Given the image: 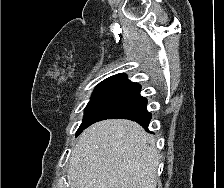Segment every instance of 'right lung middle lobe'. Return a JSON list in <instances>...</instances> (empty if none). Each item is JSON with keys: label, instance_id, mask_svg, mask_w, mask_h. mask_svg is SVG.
Instances as JSON below:
<instances>
[{"label": "right lung middle lobe", "instance_id": "right-lung-middle-lobe-1", "mask_svg": "<svg viewBox=\"0 0 224 188\" xmlns=\"http://www.w3.org/2000/svg\"><path fill=\"white\" fill-rule=\"evenodd\" d=\"M130 82L126 80H104L95 88L91 100L85 108V115L76 136L89 124L95 113Z\"/></svg>", "mask_w": 224, "mask_h": 188}]
</instances>
